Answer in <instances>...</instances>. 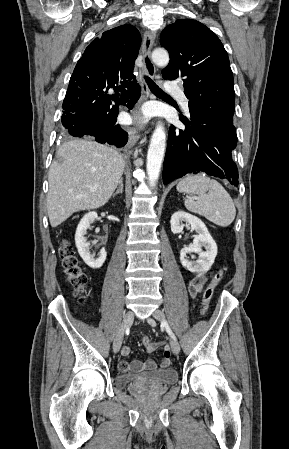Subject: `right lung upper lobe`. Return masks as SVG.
I'll use <instances>...</instances> for the list:
<instances>
[{
  "mask_svg": "<svg viewBox=\"0 0 289 449\" xmlns=\"http://www.w3.org/2000/svg\"><path fill=\"white\" fill-rule=\"evenodd\" d=\"M140 44L141 36L132 25L105 31L86 48L72 76L113 86L131 82Z\"/></svg>",
  "mask_w": 289,
  "mask_h": 449,
  "instance_id": "1",
  "label": "right lung upper lobe"
}]
</instances>
